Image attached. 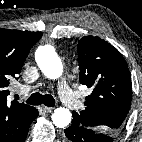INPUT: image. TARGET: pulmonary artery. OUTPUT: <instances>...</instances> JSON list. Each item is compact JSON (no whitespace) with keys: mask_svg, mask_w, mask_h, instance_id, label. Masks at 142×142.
Listing matches in <instances>:
<instances>
[{"mask_svg":"<svg viewBox=\"0 0 142 142\" xmlns=\"http://www.w3.org/2000/svg\"><path fill=\"white\" fill-rule=\"evenodd\" d=\"M59 94L62 101L70 109H77L80 107V101L75 97L73 91L69 88L68 84L63 81L59 86Z\"/></svg>","mask_w":142,"mask_h":142,"instance_id":"obj_1","label":"pulmonary artery"}]
</instances>
